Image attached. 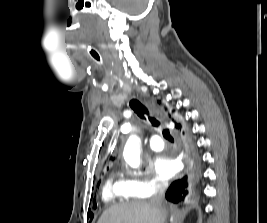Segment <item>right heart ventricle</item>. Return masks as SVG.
Wrapping results in <instances>:
<instances>
[{"mask_svg":"<svg viewBox=\"0 0 267 223\" xmlns=\"http://www.w3.org/2000/svg\"><path fill=\"white\" fill-rule=\"evenodd\" d=\"M133 196L130 194L126 184V179L121 174L112 176L105 184L102 192V198L115 205L118 201Z\"/></svg>","mask_w":267,"mask_h":223,"instance_id":"1","label":"right heart ventricle"}]
</instances>
